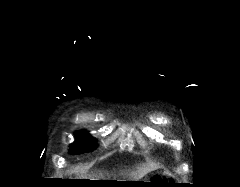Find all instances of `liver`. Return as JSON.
<instances>
[{"mask_svg":"<svg viewBox=\"0 0 240 187\" xmlns=\"http://www.w3.org/2000/svg\"><path fill=\"white\" fill-rule=\"evenodd\" d=\"M157 166L155 164H143L141 167L137 168L136 172L132 173L134 179H140L145 176L147 173L155 170Z\"/></svg>","mask_w":240,"mask_h":187,"instance_id":"1","label":"liver"}]
</instances>
